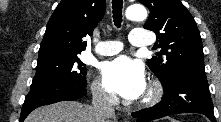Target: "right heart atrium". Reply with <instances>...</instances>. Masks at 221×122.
Here are the masks:
<instances>
[{"label":"right heart atrium","mask_w":221,"mask_h":122,"mask_svg":"<svg viewBox=\"0 0 221 122\" xmlns=\"http://www.w3.org/2000/svg\"><path fill=\"white\" fill-rule=\"evenodd\" d=\"M91 91L94 98L102 103L109 105H115L117 103V98L107 91L103 84L97 79L92 82Z\"/></svg>","instance_id":"right-heart-atrium-1"}]
</instances>
